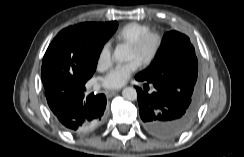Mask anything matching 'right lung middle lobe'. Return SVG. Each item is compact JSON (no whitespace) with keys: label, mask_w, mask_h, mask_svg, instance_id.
I'll return each mask as SVG.
<instances>
[{"label":"right lung middle lobe","mask_w":244,"mask_h":157,"mask_svg":"<svg viewBox=\"0 0 244 157\" xmlns=\"http://www.w3.org/2000/svg\"><path fill=\"white\" fill-rule=\"evenodd\" d=\"M113 21L108 26L80 23L62 30L49 45L42 62V81L52 87L85 84L93 75L100 52L116 31ZM80 70L83 78L75 76Z\"/></svg>","instance_id":"obj_1"}]
</instances>
